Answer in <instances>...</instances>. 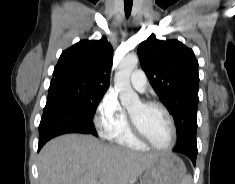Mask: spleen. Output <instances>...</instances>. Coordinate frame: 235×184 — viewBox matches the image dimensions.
I'll list each match as a JSON object with an SVG mask.
<instances>
[{"mask_svg": "<svg viewBox=\"0 0 235 184\" xmlns=\"http://www.w3.org/2000/svg\"><path fill=\"white\" fill-rule=\"evenodd\" d=\"M182 184H192V178H189V176H186V178H183Z\"/></svg>", "mask_w": 235, "mask_h": 184, "instance_id": "1", "label": "spleen"}]
</instances>
